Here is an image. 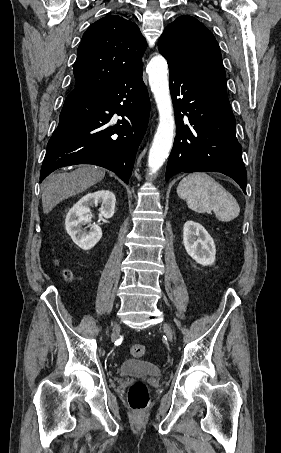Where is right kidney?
<instances>
[{
    "label": "right kidney",
    "instance_id": "right-kidney-1",
    "mask_svg": "<svg viewBox=\"0 0 281 453\" xmlns=\"http://www.w3.org/2000/svg\"><path fill=\"white\" fill-rule=\"evenodd\" d=\"M98 202H101L100 218L102 216L111 218L115 212L116 202L115 194L111 190H96V192L84 194L66 214L65 229L75 245H78L84 251H89V249L95 247L102 237V231L98 224H88L90 231L82 229L83 224L91 222L89 218L90 206H94Z\"/></svg>",
    "mask_w": 281,
    "mask_h": 453
}]
</instances>
